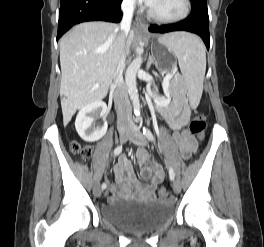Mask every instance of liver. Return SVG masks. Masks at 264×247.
Returning <instances> with one entry per match:
<instances>
[{
	"mask_svg": "<svg viewBox=\"0 0 264 247\" xmlns=\"http://www.w3.org/2000/svg\"><path fill=\"white\" fill-rule=\"evenodd\" d=\"M121 40L128 55L134 32L124 34L118 25L106 22L78 24L61 38L60 95L64 126L78 109L107 95Z\"/></svg>",
	"mask_w": 264,
	"mask_h": 247,
	"instance_id": "liver-1",
	"label": "liver"
}]
</instances>
